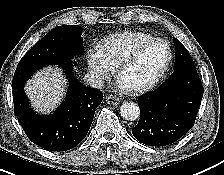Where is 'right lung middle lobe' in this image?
I'll return each mask as SVG.
<instances>
[{
    "label": "right lung middle lobe",
    "mask_w": 224,
    "mask_h": 175,
    "mask_svg": "<svg viewBox=\"0 0 224 175\" xmlns=\"http://www.w3.org/2000/svg\"><path fill=\"white\" fill-rule=\"evenodd\" d=\"M79 25H63L52 29L20 60L18 67L61 65L83 54Z\"/></svg>",
    "instance_id": "obj_1"
}]
</instances>
